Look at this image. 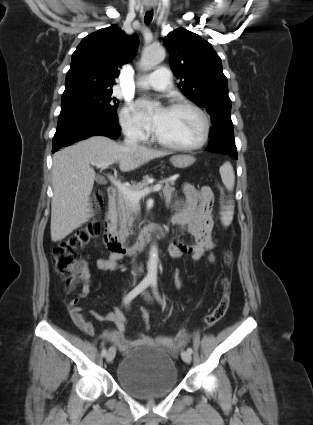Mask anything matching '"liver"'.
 Returning <instances> with one entry per match:
<instances>
[{
    "label": "liver",
    "instance_id": "liver-1",
    "mask_svg": "<svg viewBox=\"0 0 313 425\" xmlns=\"http://www.w3.org/2000/svg\"><path fill=\"white\" fill-rule=\"evenodd\" d=\"M145 147L128 148L104 136H93L53 155L51 240L61 241L93 216L90 195L95 180L91 162H117L123 172L169 155Z\"/></svg>",
    "mask_w": 313,
    "mask_h": 425
}]
</instances>
